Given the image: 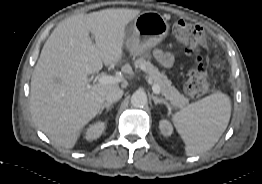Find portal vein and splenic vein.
I'll use <instances>...</instances> for the list:
<instances>
[{
	"instance_id": "1",
	"label": "portal vein and splenic vein",
	"mask_w": 262,
	"mask_h": 184,
	"mask_svg": "<svg viewBox=\"0 0 262 184\" xmlns=\"http://www.w3.org/2000/svg\"><path fill=\"white\" fill-rule=\"evenodd\" d=\"M121 81V78L116 76H110V75H102L98 78V82L100 84H114ZM152 90L155 94H160V88L158 85L154 84L152 86Z\"/></svg>"
}]
</instances>
